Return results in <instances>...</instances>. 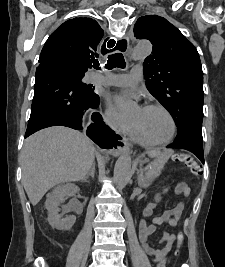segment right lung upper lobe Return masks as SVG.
<instances>
[{
    "label": "right lung upper lobe",
    "instance_id": "cb5924a9",
    "mask_svg": "<svg viewBox=\"0 0 225 267\" xmlns=\"http://www.w3.org/2000/svg\"><path fill=\"white\" fill-rule=\"evenodd\" d=\"M103 30L90 18H74L64 22L48 38L39 62H53L79 75L95 67ZM103 52V46L101 49Z\"/></svg>",
    "mask_w": 225,
    "mask_h": 267
}]
</instances>
